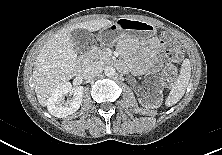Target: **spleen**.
Wrapping results in <instances>:
<instances>
[{"label":"spleen","mask_w":222,"mask_h":155,"mask_svg":"<svg viewBox=\"0 0 222 155\" xmlns=\"http://www.w3.org/2000/svg\"><path fill=\"white\" fill-rule=\"evenodd\" d=\"M190 76V61L185 60L181 66L179 77L177 78L175 85L172 87L169 96L165 101L166 106L170 107L175 105L183 97L189 84Z\"/></svg>","instance_id":"1"}]
</instances>
